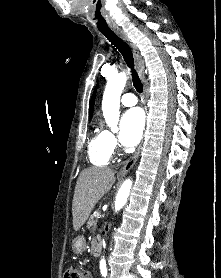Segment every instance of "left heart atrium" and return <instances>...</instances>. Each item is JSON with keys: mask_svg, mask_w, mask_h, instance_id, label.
Wrapping results in <instances>:
<instances>
[{"mask_svg": "<svg viewBox=\"0 0 221 278\" xmlns=\"http://www.w3.org/2000/svg\"><path fill=\"white\" fill-rule=\"evenodd\" d=\"M145 125L142 110L133 108L124 113L121 119L120 141L123 145L135 146L141 139Z\"/></svg>", "mask_w": 221, "mask_h": 278, "instance_id": "left-heart-atrium-1", "label": "left heart atrium"}]
</instances>
